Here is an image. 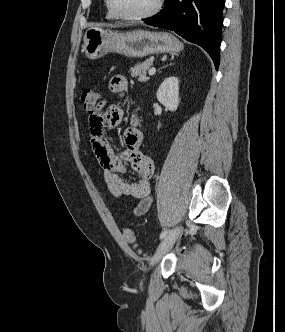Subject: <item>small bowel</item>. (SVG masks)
<instances>
[{"label":"small bowel","mask_w":285,"mask_h":332,"mask_svg":"<svg viewBox=\"0 0 285 332\" xmlns=\"http://www.w3.org/2000/svg\"><path fill=\"white\" fill-rule=\"evenodd\" d=\"M109 87L112 92L123 94L128 90V81L123 75L111 78ZM124 111L113 105L108 96H101L100 103L93 107L90 118V138L93 151L98 158L104 182L114 197H132L139 200L133 213L136 216L147 212L151 204L150 179L155 172L153 159L141 151L143 133L139 122L134 118L131 125L124 131V146L121 152H115L105 137L103 130L117 127L123 120ZM125 162L129 163L139 179L128 181L122 177L126 171Z\"/></svg>","instance_id":"c3829d8e"}]
</instances>
